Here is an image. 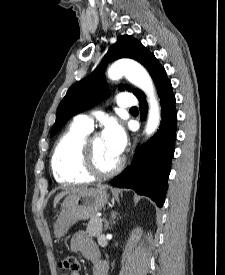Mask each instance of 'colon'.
I'll list each match as a JSON object with an SVG mask.
<instances>
[{
	"mask_svg": "<svg viewBox=\"0 0 225 275\" xmlns=\"http://www.w3.org/2000/svg\"><path fill=\"white\" fill-rule=\"evenodd\" d=\"M61 266L63 269L70 272H77L79 270V262L73 256H68L64 258L61 262Z\"/></svg>",
	"mask_w": 225,
	"mask_h": 275,
	"instance_id": "colon-1",
	"label": "colon"
}]
</instances>
